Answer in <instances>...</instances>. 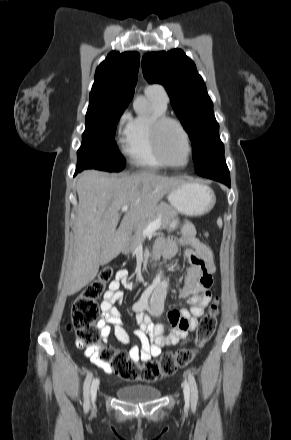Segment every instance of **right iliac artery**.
<instances>
[{"mask_svg":"<svg viewBox=\"0 0 291 440\" xmlns=\"http://www.w3.org/2000/svg\"><path fill=\"white\" fill-rule=\"evenodd\" d=\"M93 374L91 372H89L85 378L84 381V386H83V396H84V410L85 412H87L89 410L90 407V401H89V397H90V392H89V388H90V383L92 380Z\"/></svg>","mask_w":291,"mask_h":440,"instance_id":"82829eb1","label":"right iliac artery"}]
</instances>
